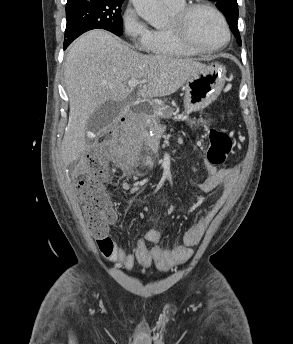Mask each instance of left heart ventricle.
Returning <instances> with one entry per match:
<instances>
[{"mask_svg":"<svg viewBox=\"0 0 293 344\" xmlns=\"http://www.w3.org/2000/svg\"><path fill=\"white\" fill-rule=\"evenodd\" d=\"M188 33L194 43L214 47L225 40V31L219 19L209 10H195L188 21Z\"/></svg>","mask_w":293,"mask_h":344,"instance_id":"left-heart-ventricle-1","label":"left heart ventricle"}]
</instances>
